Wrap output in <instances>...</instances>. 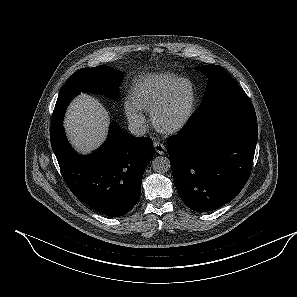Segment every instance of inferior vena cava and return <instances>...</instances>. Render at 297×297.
Wrapping results in <instances>:
<instances>
[{"label":"inferior vena cava","instance_id":"1","mask_svg":"<svg viewBox=\"0 0 297 297\" xmlns=\"http://www.w3.org/2000/svg\"><path fill=\"white\" fill-rule=\"evenodd\" d=\"M130 133L134 136H143L146 133V125L139 120L131 121L128 125Z\"/></svg>","mask_w":297,"mask_h":297}]
</instances>
